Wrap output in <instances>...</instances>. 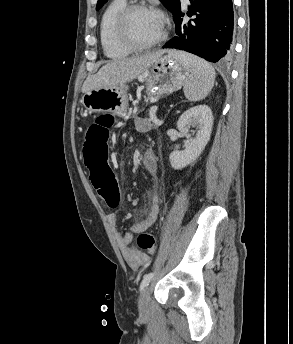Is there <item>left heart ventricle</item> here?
Instances as JSON below:
<instances>
[{
  "mask_svg": "<svg viewBox=\"0 0 293 344\" xmlns=\"http://www.w3.org/2000/svg\"><path fill=\"white\" fill-rule=\"evenodd\" d=\"M129 32L136 41L147 43L161 36L163 24L157 14L149 11H138L130 18Z\"/></svg>",
  "mask_w": 293,
  "mask_h": 344,
  "instance_id": "1",
  "label": "left heart ventricle"
}]
</instances>
